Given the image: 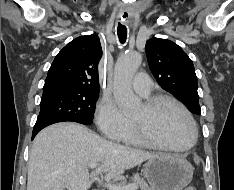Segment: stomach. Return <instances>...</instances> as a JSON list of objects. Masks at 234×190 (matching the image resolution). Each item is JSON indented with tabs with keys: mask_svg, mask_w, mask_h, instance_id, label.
Listing matches in <instances>:
<instances>
[{
	"mask_svg": "<svg viewBox=\"0 0 234 190\" xmlns=\"http://www.w3.org/2000/svg\"><path fill=\"white\" fill-rule=\"evenodd\" d=\"M144 176L154 190H182L192 180L193 167L178 155L161 154L147 161Z\"/></svg>",
	"mask_w": 234,
	"mask_h": 190,
	"instance_id": "stomach-1",
	"label": "stomach"
}]
</instances>
